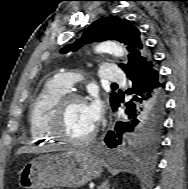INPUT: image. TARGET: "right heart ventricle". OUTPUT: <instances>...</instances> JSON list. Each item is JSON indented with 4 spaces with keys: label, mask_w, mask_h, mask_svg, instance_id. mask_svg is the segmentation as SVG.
<instances>
[{
    "label": "right heart ventricle",
    "mask_w": 188,
    "mask_h": 189,
    "mask_svg": "<svg viewBox=\"0 0 188 189\" xmlns=\"http://www.w3.org/2000/svg\"><path fill=\"white\" fill-rule=\"evenodd\" d=\"M68 92V88L56 78L49 80L32 101L28 120L30 138L35 143L54 142L56 138L48 131V117L55 101Z\"/></svg>",
    "instance_id": "obj_1"
}]
</instances>
